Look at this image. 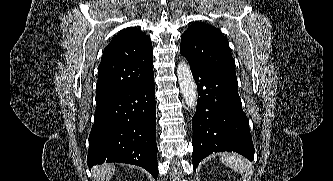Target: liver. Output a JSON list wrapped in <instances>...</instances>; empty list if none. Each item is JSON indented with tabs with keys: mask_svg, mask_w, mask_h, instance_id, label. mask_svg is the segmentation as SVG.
I'll list each match as a JSON object with an SVG mask.
<instances>
[{
	"mask_svg": "<svg viewBox=\"0 0 333 181\" xmlns=\"http://www.w3.org/2000/svg\"><path fill=\"white\" fill-rule=\"evenodd\" d=\"M115 172L113 163H105L93 168L92 173L95 181H109Z\"/></svg>",
	"mask_w": 333,
	"mask_h": 181,
	"instance_id": "obj_1",
	"label": "liver"
}]
</instances>
